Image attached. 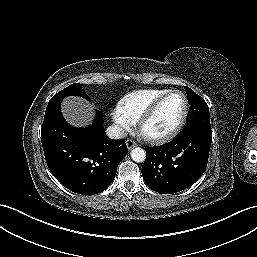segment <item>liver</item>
<instances>
[{
	"instance_id": "6515ba94",
	"label": "liver",
	"mask_w": 257,
	"mask_h": 257,
	"mask_svg": "<svg viewBox=\"0 0 257 257\" xmlns=\"http://www.w3.org/2000/svg\"><path fill=\"white\" fill-rule=\"evenodd\" d=\"M62 114L75 127H85L94 118L93 106L81 97H67L62 102Z\"/></svg>"
}]
</instances>
